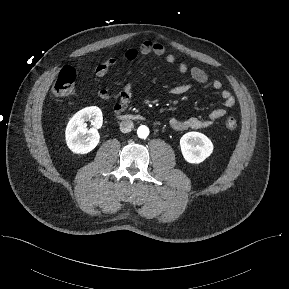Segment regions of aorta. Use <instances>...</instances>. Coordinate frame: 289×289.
<instances>
[{"label":"aorta","mask_w":289,"mask_h":289,"mask_svg":"<svg viewBox=\"0 0 289 289\" xmlns=\"http://www.w3.org/2000/svg\"><path fill=\"white\" fill-rule=\"evenodd\" d=\"M137 134L140 138H146L149 135V129L147 126H140L137 130Z\"/></svg>","instance_id":"1"}]
</instances>
